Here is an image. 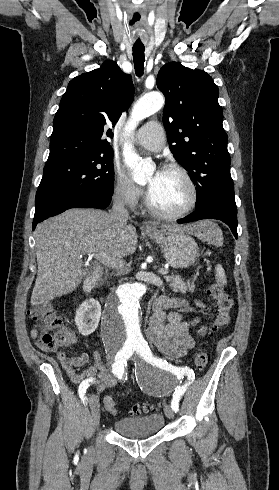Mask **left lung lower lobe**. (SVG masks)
Instances as JSON below:
<instances>
[{"mask_svg": "<svg viewBox=\"0 0 279 490\" xmlns=\"http://www.w3.org/2000/svg\"><path fill=\"white\" fill-rule=\"evenodd\" d=\"M202 219H218L226 223L235 238L237 239V210H231L223 203L210 201L203 208L196 209L195 212L179 219L177 223H189Z\"/></svg>", "mask_w": 279, "mask_h": 490, "instance_id": "0a47b994", "label": "left lung lower lobe"}]
</instances>
